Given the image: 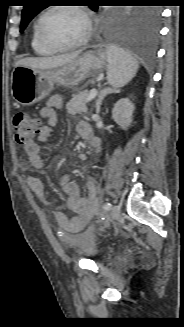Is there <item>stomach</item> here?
Here are the masks:
<instances>
[{
  "mask_svg": "<svg viewBox=\"0 0 184 327\" xmlns=\"http://www.w3.org/2000/svg\"><path fill=\"white\" fill-rule=\"evenodd\" d=\"M106 62V50L98 48L53 70L16 66L11 75V94L18 105L30 106L48 96L55 83L75 88L86 78L97 76Z\"/></svg>",
  "mask_w": 184,
  "mask_h": 327,
  "instance_id": "1",
  "label": "stomach"
}]
</instances>
